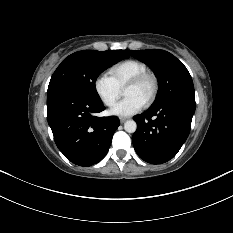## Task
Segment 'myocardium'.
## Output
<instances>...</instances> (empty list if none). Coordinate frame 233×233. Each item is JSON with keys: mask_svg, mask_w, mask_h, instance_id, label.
Wrapping results in <instances>:
<instances>
[{"mask_svg": "<svg viewBox=\"0 0 233 233\" xmlns=\"http://www.w3.org/2000/svg\"><path fill=\"white\" fill-rule=\"evenodd\" d=\"M146 81H151V83H152V91H151L149 97L147 98V100L145 101V105L148 106L155 101V99L158 95V92H159V81H158L157 76L154 73H152L150 71H146V72H143V73L133 77L131 80H129L127 82L124 89L127 87L141 85L142 83H144Z\"/></svg>", "mask_w": 233, "mask_h": 233, "instance_id": "myocardium-1", "label": "myocardium"}]
</instances>
